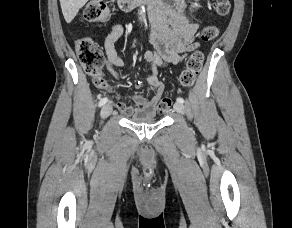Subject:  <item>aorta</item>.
<instances>
[{
    "label": "aorta",
    "mask_w": 292,
    "mask_h": 228,
    "mask_svg": "<svg viewBox=\"0 0 292 228\" xmlns=\"http://www.w3.org/2000/svg\"><path fill=\"white\" fill-rule=\"evenodd\" d=\"M144 13H145V7L144 6H141V8L138 11V14L141 16V19H142Z\"/></svg>",
    "instance_id": "1"
}]
</instances>
